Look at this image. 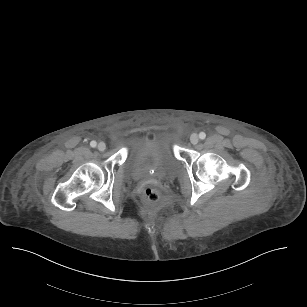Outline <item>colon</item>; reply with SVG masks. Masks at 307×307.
Returning <instances> with one entry per match:
<instances>
[{
    "label": "colon",
    "mask_w": 307,
    "mask_h": 307,
    "mask_svg": "<svg viewBox=\"0 0 307 307\" xmlns=\"http://www.w3.org/2000/svg\"><path fill=\"white\" fill-rule=\"evenodd\" d=\"M162 198V191L155 186H148L142 194V201L146 205H153Z\"/></svg>",
    "instance_id": "1"
}]
</instances>
